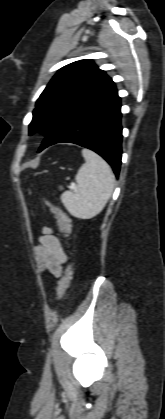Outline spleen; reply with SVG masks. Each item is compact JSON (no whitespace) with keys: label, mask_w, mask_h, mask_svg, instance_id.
I'll return each mask as SVG.
<instances>
[{"label":"spleen","mask_w":165,"mask_h":419,"mask_svg":"<svg viewBox=\"0 0 165 419\" xmlns=\"http://www.w3.org/2000/svg\"><path fill=\"white\" fill-rule=\"evenodd\" d=\"M85 163L75 177L77 189L65 191L61 201L68 212L80 219H91L98 215L114 189L115 177L107 162L89 149H83Z\"/></svg>","instance_id":"1"}]
</instances>
